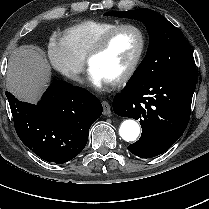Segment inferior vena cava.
<instances>
[{
  "label": "inferior vena cava",
  "mask_w": 209,
  "mask_h": 209,
  "mask_svg": "<svg viewBox=\"0 0 209 209\" xmlns=\"http://www.w3.org/2000/svg\"><path fill=\"white\" fill-rule=\"evenodd\" d=\"M72 79L75 80V81H77V82L82 83V79H81L78 75H74V76L72 77Z\"/></svg>",
  "instance_id": "obj_1"
}]
</instances>
